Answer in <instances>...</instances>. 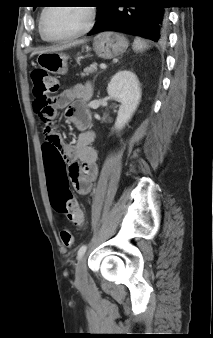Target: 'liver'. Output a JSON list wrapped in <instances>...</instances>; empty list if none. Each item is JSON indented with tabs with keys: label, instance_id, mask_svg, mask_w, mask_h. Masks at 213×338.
<instances>
[{
	"label": "liver",
	"instance_id": "1",
	"mask_svg": "<svg viewBox=\"0 0 213 338\" xmlns=\"http://www.w3.org/2000/svg\"><path fill=\"white\" fill-rule=\"evenodd\" d=\"M84 43V40H80V41H76V42H73V43H69V44H66V45H62V46H52V47H48V48H45L41 51H37V52H33L31 54V56L35 55V54H41V53H49V52H58V51H62L64 49H67V48H70L71 46H75V45H78V44H82Z\"/></svg>",
	"mask_w": 213,
	"mask_h": 338
}]
</instances>
